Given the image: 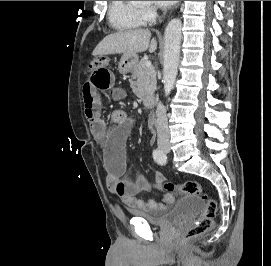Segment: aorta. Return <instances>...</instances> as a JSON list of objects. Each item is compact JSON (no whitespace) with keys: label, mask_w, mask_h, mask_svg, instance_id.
Here are the masks:
<instances>
[{"label":"aorta","mask_w":271,"mask_h":266,"mask_svg":"<svg viewBox=\"0 0 271 266\" xmlns=\"http://www.w3.org/2000/svg\"><path fill=\"white\" fill-rule=\"evenodd\" d=\"M181 30L182 22L180 19L175 18L168 23L164 33L163 82L165 96L171 93L178 73L182 38Z\"/></svg>","instance_id":"1"}]
</instances>
